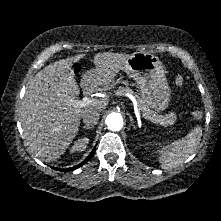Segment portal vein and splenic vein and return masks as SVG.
<instances>
[{
    "instance_id": "18ae733b",
    "label": "portal vein and splenic vein",
    "mask_w": 221,
    "mask_h": 221,
    "mask_svg": "<svg viewBox=\"0 0 221 221\" xmlns=\"http://www.w3.org/2000/svg\"><path fill=\"white\" fill-rule=\"evenodd\" d=\"M66 102H67V104L73 106L74 108H83V107H87V106H91V105L96 104L97 100L91 99L88 97H84L82 100H75V99L71 98V99H68ZM142 117L146 120H149L150 122L159 123V121L149 118L145 115H142Z\"/></svg>"
}]
</instances>
